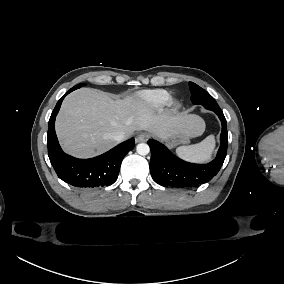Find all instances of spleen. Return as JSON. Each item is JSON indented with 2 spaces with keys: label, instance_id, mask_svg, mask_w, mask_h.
Wrapping results in <instances>:
<instances>
[{
  "label": "spleen",
  "instance_id": "spleen-1",
  "mask_svg": "<svg viewBox=\"0 0 284 284\" xmlns=\"http://www.w3.org/2000/svg\"><path fill=\"white\" fill-rule=\"evenodd\" d=\"M213 146V137L208 136L199 143L179 146L177 148V153L189 160H208L211 157Z\"/></svg>",
  "mask_w": 284,
  "mask_h": 284
}]
</instances>
